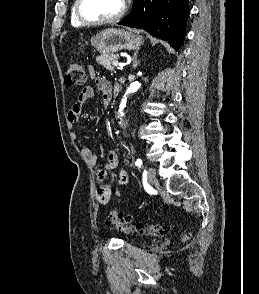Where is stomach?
I'll list each match as a JSON object with an SVG mask.
<instances>
[{"label": "stomach", "mask_w": 259, "mask_h": 294, "mask_svg": "<svg viewBox=\"0 0 259 294\" xmlns=\"http://www.w3.org/2000/svg\"><path fill=\"white\" fill-rule=\"evenodd\" d=\"M91 45L101 54L111 55L121 50H137L143 38L130 31L108 28L93 36Z\"/></svg>", "instance_id": "obj_1"}]
</instances>
